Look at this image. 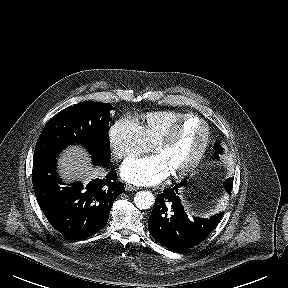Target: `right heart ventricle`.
Instances as JSON below:
<instances>
[{"label": "right heart ventricle", "mask_w": 288, "mask_h": 288, "mask_svg": "<svg viewBox=\"0 0 288 288\" xmlns=\"http://www.w3.org/2000/svg\"><path fill=\"white\" fill-rule=\"evenodd\" d=\"M190 115L177 110L152 111L136 120L147 144L153 145L156 139L177 121Z\"/></svg>", "instance_id": "e07e8e85"}]
</instances>
